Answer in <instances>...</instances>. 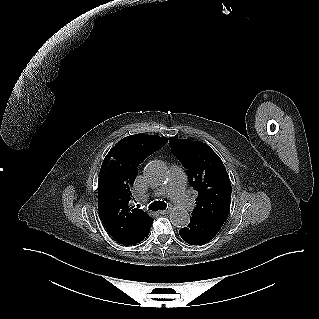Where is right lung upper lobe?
I'll return each instance as SVG.
<instances>
[{"label": "right lung upper lobe", "instance_id": "obj_1", "mask_svg": "<svg viewBox=\"0 0 319 319\" xmlns=\"http://www.w3.org/2000/svg\"><path fill=\"white\" fill-rule=\"evenodd\" d=\"M168 138L140 133L120 140L106 155L98 179V210L109 234L123 245H135L153 223L130 205L137 166L159 150Z\"/></svg>", "mask_w": 319, "mask_h": 319}]
</instances>
